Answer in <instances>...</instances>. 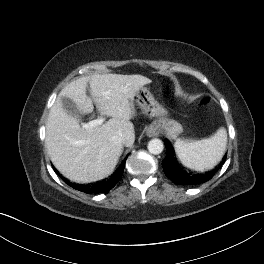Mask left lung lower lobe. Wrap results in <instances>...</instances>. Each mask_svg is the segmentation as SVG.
<instances>
[{
	"mask_svg": "<svg viewBox=\"0 0 264 264\" xmlns=\"http://www.w3.org/2000/svg\"><path fill=\"white\" fill-rule=\"evenodd\" d=\"M164 142L167 150V155L162 162V167L165 175L175 184L198 185L207 182L214 176V174L226 161L227 155L223 157L218 167L204 174H194L191 172H187L182 166L178 164V162L174 158L169 142L167 140H165Z\"/></svg>",
	"mask_w": 264,
	"mask_h": 264,
	"instance_id": "left-lung-lower-lobe-1",
	"label": "left lung lower lobe"
}]
</instances>
